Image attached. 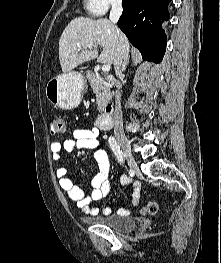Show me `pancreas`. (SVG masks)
<instances>
[{"label":"pancreas","mask_w":221,"mask_h":263,"mask_svg":"<svg viewBox=\"0 0 221 263\" xmlns=\"http://www.w3.org/2000/svg\"><path fill=\"white\" fill-rule=\"evenodd\" d=\"M86 77L96 95V104L98 105L97 110L101 112L112 98L110 85L104 81L103 77L94 74L92 71H87Z\"/></svg>","instance_id":"1"}]
</instances>
